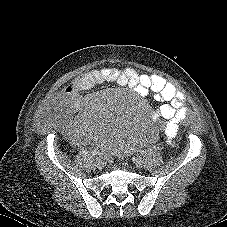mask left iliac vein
Returning <instances> with one entry per match:
<instances>
[{"instance_id":"left-iliac-vein-1","label":"left iliac vein","mask_w":227,"mask_h":227,"mask_svg":"<svg viewBox=\"0 0 227 227\" xmlns=\"http://www.w3.org/2000/svg\"><path fill=\"white\" fill-rule=\"evenodd\" d=\"M134 164L137 168H142L144 166V161L141 157H137L134 160Z\"/></svg>"}]
</instances>
